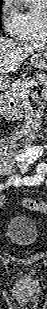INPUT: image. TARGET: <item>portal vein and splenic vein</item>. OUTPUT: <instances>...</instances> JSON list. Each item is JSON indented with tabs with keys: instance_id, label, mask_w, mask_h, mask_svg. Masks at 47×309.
Segmentation results:
<instances>
[{
	"instance_id": "1",
	"label": "portal vein and splenic vein",
	"mask_w": 47,
	"mask_h": 309,
	"mask_svg": "<svg viewBox=\"0 0 47 309\" xmlns=\"http://www.w3.org/2000/svg\"><path fill=\"white\" fill-rule=\"evenodd\" d=\"M24 86H25L26 88H27V87L30 88V87H33V86H37V83L32 82V83H30V84H25Z\"/></svg>"
}]
</instances>
